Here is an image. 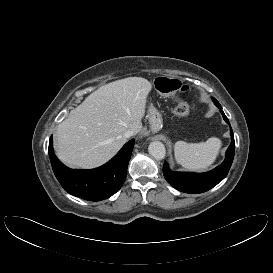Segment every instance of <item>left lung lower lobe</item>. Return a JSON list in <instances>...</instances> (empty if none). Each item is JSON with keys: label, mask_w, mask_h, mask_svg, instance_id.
Masks as SVG:
<instances>
[{"label": "left lung lower lobe", "mask_w": 273, "mask_h": 273, "mask_svg": "<svg viewBox=\"0 0 273 273\" xmlns=\"http://www.w3.org/2000/svg\"><path fill=\"white\" fill-rule=\"evenodd\" d=\"M215 105L219 109H222L219 102L215 103ZM220 112L223 115L224 120L230 125L228 118L225 116L224 112L222 110ZM230 133L231 144L226 152L225 160L221 165H219L212 171L195 174L171 171L168 167V164L164 162L163 174L167 182L177 190L191 194L206 192L216 186L228 174L234 158L235 142L231 127Z\"/></svg>", "instance_id": "1"}]
</instances>
